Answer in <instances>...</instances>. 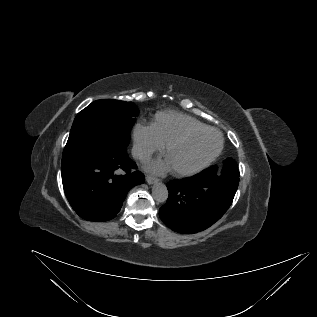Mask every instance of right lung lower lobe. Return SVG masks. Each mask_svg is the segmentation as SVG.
<instances>
[{
    "instance_id": "98d812e1",
    "label": "right lung lower lobe",
    "mask_w": 317,
    "mask_h": 317,
    "mask_svg": "<svg viewBox=\"0 0 317 317\" xmlns=\"http://www.w3.org/2000/svg\"><path fill=\"white\" fill-rule=\"evenodd\" d=\"M126 151L99 152L62 167L66 197L76 213L89 221H107L120 211L127 192L145 181Z\"/></svg>"
}]
</instances>
